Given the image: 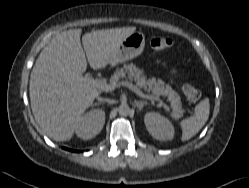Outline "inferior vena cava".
I'll use <instances>...</instances> for the list:
<instances>
[{
    "label": "inferior vena cava",
    "instance_id": "obj_1",
    "mask_svg": "<svg viewBox=\"0 0 249 188\" xmlns=\"http://www.w3.org/2000/svg\"><path fill=\"white\" fill-rule=\"evenodd\" d=\"M98 101H100V102H108V103H113V101H112V100H109V99H104V98H100V97H98Z\"/></svg>",
    "mask_w": 249,
    "mask_h": 188
}]
</instances>
